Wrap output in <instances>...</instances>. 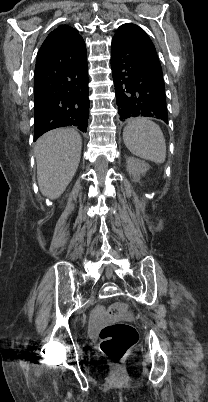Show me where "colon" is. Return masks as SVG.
Instances as JSON below:
<instances>
[{
  "label": "colon",
  "mask_w": 208,
  "mask_h": 402,
  "mask_svg": "<svg viewBox=\"0 0 208 402\" xmlns=\"http://www.w3.org/2000/svg\"><path fill=\"white\" fill-rule=\"evenodd\" d=\"M123 311L124 306L116 304L108 309V314L116 317ZM99 335L102 339L103 354L111 362L119 363L134 344L135 339L139 338L140 331L135 329L134 324L115 323L104 326Z\"/></svg>",
  "instance_id": "5ec220e1"
}]
</instances>
